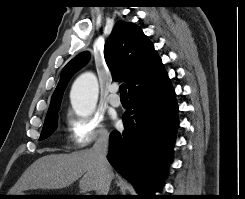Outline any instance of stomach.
Wrapping results in <instances>:
<instances>
[{"mask_svg": "<svg viewBox=\"0 0 245 199\" xmlns=\"http://www.w3.org/2000/svg\"><path fill=\"white\" fill-rule=\"evenodd\" d=\"M12 195H30L26 193L12 194ZM16 199H26L27 196H15Z\"/></svg>", "mask_w": 245, "mask_h": 199, "instance_id": "stomach-1", "label": "stomach"}]
</instances>
